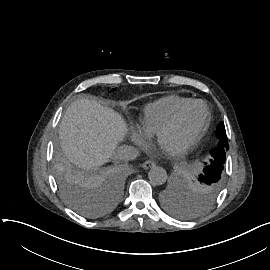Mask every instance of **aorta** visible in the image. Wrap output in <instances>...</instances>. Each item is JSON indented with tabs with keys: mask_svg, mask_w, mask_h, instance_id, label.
<instances>
[{
	"mask_svg": "<svg viewBox=\"0 0 270 270\" xmlns=\"http://www.w3.org/2000/svg\"><path fill=\"white\" fill-rule=\"evenodd\" d=\"M148 177H149L150 182L153 185H163L166 182L168 175H167V172L164 168L153 167L149 171Z\"/></svg>",
	"mask_w": 270,
	"mask_h": 270,
	"instance_id": "1",
	"label": "aorta"
}]
</instances>
